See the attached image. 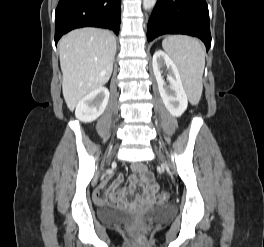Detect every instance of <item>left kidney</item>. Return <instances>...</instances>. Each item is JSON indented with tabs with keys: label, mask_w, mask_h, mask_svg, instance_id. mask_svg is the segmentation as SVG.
<instances>
[{
	"label": "left kidney",
	"mask_w": 264,
	"mask_h": 247,
	"mask_svg": "<svg viewBox=\"0 0 264 247\" xmlns=\"http://www.w3.org/2000/svg\"><path fill=\"white\" fill-rule=\"evenodd\" d=\"M153 72L158 83V89L163 103L169 113L180 117L188 106V97L184 90L180 73L172 59L161 50L153 55ZM166 66L169 85L163 80L162 69Z\"/></svg>",
	"instance_id": "1"
}]
</instances>
